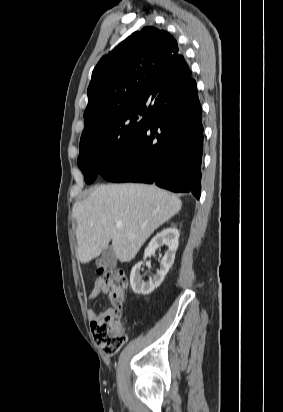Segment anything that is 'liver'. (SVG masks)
<instances>
[{
    "instance_id": "liver-1",
    "label": "liver",
    "mask_w": 283,
    "mask_h": 412,
    "mask_svg": "<svg viewBox=\"0 0 283 412\" xmlns=\"http://www.w3.org/2000/svg\"><path fill=\"white\" fill-rule=\"evenodd\" d=\"M181 207L177 196L155 185H100L73 206L79 261L90 262L112 241L118 260L130 262L153 232ZM116 222L122 227L117 228Z\"/></svg>"
}]
</instances>
